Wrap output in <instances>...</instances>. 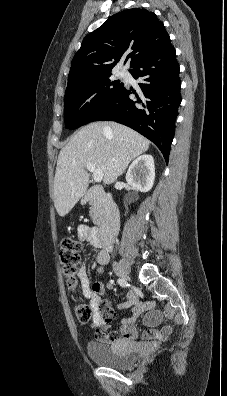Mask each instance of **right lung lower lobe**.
Returning a JSON list of instances; mask_svg holds the SVG:
<instances>
[{
	"instance_id": "obj_1",
	"label": "right lung lower lobe",
	"mask_w": 227,
	"mask_h": 396,
	"mask_svg": "<svg viewBox=\"0 0 227 396\" xmlns=\"http://www.w3.org/2000/svg\"><path fill=\"white\" fill-rule=\"evenodd\" d=\"M131 68V75L140 78L138 93L123 86L92 121L113 120L136 130L156 144L168 162L181 103L176 51L168 42L141 57ZM131 93L137 100L129 98Z\"/></svg>"
}]
</instances>
